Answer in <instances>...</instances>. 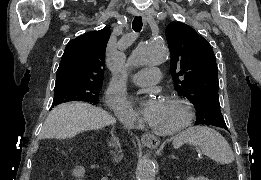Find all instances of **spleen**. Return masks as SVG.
<instances>
[{"instance_id":"obj_1","label":"spleen","mask_w":261,"mask_h":180,"mask_svg":"<svg viewBox=\"0 0 261 180\" xmlns=\"http://www.w3.org/2000/svg\"><path fill=\"white\" fill-rule=\"evenodd\" d=\"M177 142L181 144H191L201 150L204 156L214 160L217 164H232L234 154L227 140L212 128L207 126H193L180 132L176 136Z\"/></svg>"}]
</instances>
